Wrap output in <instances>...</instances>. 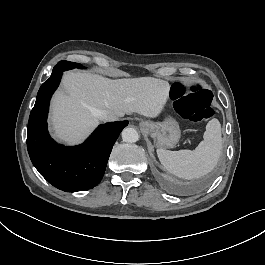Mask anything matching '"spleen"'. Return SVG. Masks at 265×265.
I'll list each match as a JSON object with an SVG mask.
<instances>
[{
	"label": "spleen",
	"instance_id": "1",
	"mask_svg": "<svg viewBox=\"0 0 265 265\" xmlns=\"http://www.w3.org/2000/svg\"><path fill=\"white\" fill-rule=\"evenodd\" d=\"M203 138L193 151L157 149L163 167L186 180L198 179L210 173L217 165L222 150L221 124L218 119L207 123Z\"/></svg>",
	"mask_w": 265,
	"mask_h": 265
}]
</instances>
